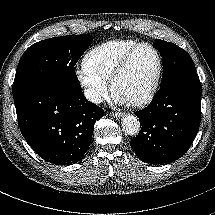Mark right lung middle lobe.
Instances as JSON below:
<instances>
[{"mask_svg":"<svg viewBox=\"0 0 215 215\" xmlns=\"http://www.w3.org/2000/svg\"><path fill=\"white\" fill-rule=\"evenodd\" d=\"M92 39L90 35H67L31 45L19 61L13 83V98L45 85L81 90L74 66Z\"/></svg>","mask_w":215,"mask_h":215,"instance_id":"dd1d6c3e","label":"right lung middle lobe"}]
</instances>
